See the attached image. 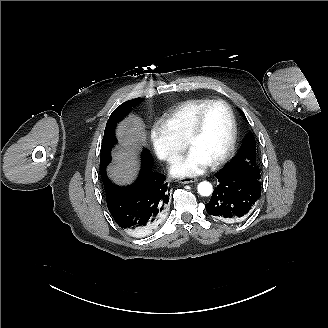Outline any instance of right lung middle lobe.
Segmentation results:
<instances>
[{"label": "right lung middle lobe", "mask_w": 328, "mask_h": 328, "mask_svg": "<svg viewBox=\"0 0 328 328\" xmlns=\"http://www.w3.org/2000/svg\"><path fill=\"white\" fill-rule=\"evenodd\" d=\"M142 101V98H136L133 100H129L118 106L110 115L106 128L104 131V137L101 145V178L103 184H107L109 179L106 175V167L111 162V149L117 143L115 137V126L117 123L123 119L130 111L132 107H135L139 102ZM150 156L146 151L142 152V165L146 162L150 161Z\"/></svg>", "instance_id": "obj_1"}]
</instances>
